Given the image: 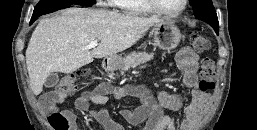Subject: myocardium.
<instances>
[{"instance_id":"obj_1","label":"myocardium","mask_w":257,"mask_h":130,"mask_svg":"<svg viewBox=\"0 0 257 130\" xmlns=\"http://www.w3.org/2000/svg\"><path fill=\"white\" fill-rule=\"evenodd\" d=\"M188 2L189 0H183V5L182 7L178 10V11H175V12H168L164 9H162L156 0H146V3L147 5L155 12V13H158L160 15H163V16H167V17H177L179 15H181L187 8L188 6Z\"/></svg>"}]
</instances>
